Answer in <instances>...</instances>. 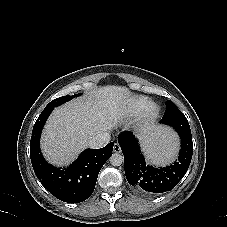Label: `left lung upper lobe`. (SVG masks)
I'll use <instances>...</instances> for the list:
<instances>
[{"label":"left lung upper lobe","instance_id":"left-lung-upper-lobe-1","mask_svg":"<svg viewBox=\"0 0 227 227\" xmlns=\"http://www.w3.org/2000/svg\"><path fill=\"white\" fill-rule=\"evenodd\" d=\"M173 104L170 100L167 101L166 106Z\"/></svg>","mask_w":227,"mask_h":227}]
</instances>
